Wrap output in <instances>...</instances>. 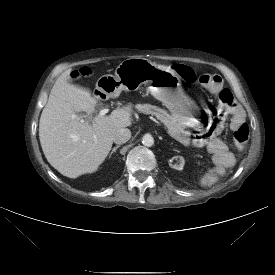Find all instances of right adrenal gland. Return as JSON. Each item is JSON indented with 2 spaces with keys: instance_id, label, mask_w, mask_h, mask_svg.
I'll return each mask as SVG.
<instances>
[{
  "instance_id": "right-adrenal-gland-1",
  "label": "right adrenal gland",
  "mask_w": 275,
  "mask_h": 275,
  "mask_svg": "<svg viewBox=\"0 0 275 275\" xmlns=\"http://www.w3.org/2000/svg\"><path fill=\"white\" fill-rule=\"evenodd\" d=\"M119 147H120V145H117V146H115V147L112 149V151H111V153H110V155H109V158L111 157V155H112L113 153L116 152V150H117Z\"/></svg>"
}]
</instances>
